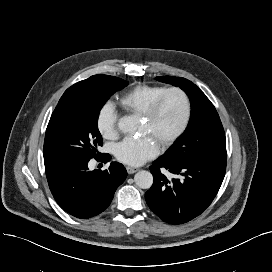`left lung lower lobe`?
I'll return each mask as SVG.
<instances>
[{"label":"left lung lower lobe","mask_w":272,"mask_h":272,"mask_svg":"<svg viewBox=\"0 0 272 272\" xmlns=\"http://www.w3.org/2000/svg\"><path fill=\"white\" fill-rule=\"evenodd\" d=\"M167 169L176 178L161 173ZM150 170L154 177L145 199L150 209L169 224H183L200 215L213 201L226 171V156L190 160L159 158Z\"/></svg>","instance_id":"obj_1"}]
</instances>
